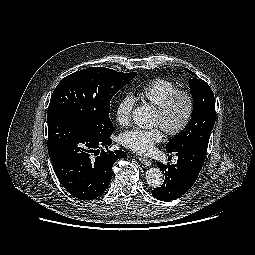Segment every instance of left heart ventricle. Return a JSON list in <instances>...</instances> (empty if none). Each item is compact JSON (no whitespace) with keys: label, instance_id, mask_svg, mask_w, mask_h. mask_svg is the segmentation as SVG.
<instances>
[{"label":"left heart ventricle","instance_id":"b2bd125f","mask_svg":"<svg viewBox=\"0 0 255 255\" xmlns=\"http://www.w3.org/2000/svg\"><path fill=\"white\" fill-rule=\"evenodd\" d=\"M186 109H187V103H186L185 99L179 98L175 102V104L170 112L169 119H168L169 124H171V125L178 124L184 117ZM155 123L161 125V117L158 114V112H156Z\"/></svg>","mask_w":255,"mask_h":255}]
</instances>
